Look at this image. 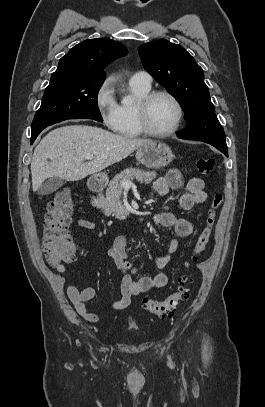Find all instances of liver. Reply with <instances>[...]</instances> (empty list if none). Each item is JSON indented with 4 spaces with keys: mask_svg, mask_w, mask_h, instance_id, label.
I'll use <instances>...</instances> for the list:
<instances>
[{
    "mask_svg": "<svg viewBox=\"0 0 265 407\" xmlns=\"http://www.w3.org/2000/svg\"><path fill=\"white\" fill-rule=\"evenodd\" d=\"M149 142V139L127 138L88 125L56 128L34 150L30 166L33 191L48 178L78 181L100 172ZM87 155L94 159L85 162Z\"/></svg>",
    "mask_w": 265,
    "mask_h": 407,
    "instance_id": "6515ba94",
    "label": "liver"
}]
</instances>
